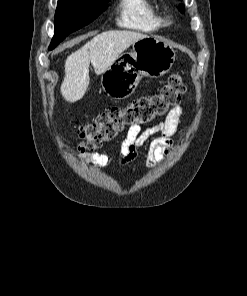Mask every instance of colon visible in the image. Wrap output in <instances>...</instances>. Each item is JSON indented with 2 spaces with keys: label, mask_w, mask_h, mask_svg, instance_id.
<instances>
[{
  "label": "colon",
  "mask_w": 247,
  "mask_h": 296,
  "mask_svg": "<svg viewBox=\"0 0 247 296\" xmlns=\"http://www.w3.org/2000/svg\"><path fill=\"white\" fill-rule=\"evenodd\" d=\"M185 92L183 76L171 75L161 89L149 96L138 98L123 107H111L92 122L78 128L81 152L97 149L129 126L141 125L164 116L175 106Z\"/></svg>",
  "instance_id": "5ec220e1"
}]
</instances>
